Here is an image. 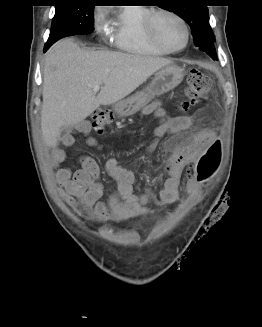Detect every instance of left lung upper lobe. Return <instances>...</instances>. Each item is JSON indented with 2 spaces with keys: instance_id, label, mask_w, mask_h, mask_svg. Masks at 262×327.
I'll return each mask as SVG.
<instances>
[{
  "instance_id": "5c2ea615",
  "label": "left lung upper lobe",
  "mask_w": 262,
  "mask_h": 327,
  "mask_svg": "<svg viewBox=\"0 0 262 327\" xmlns=\"http://www.w3.org/2000/svg\"><path fill=\"white\" fill-rule=\"evenodd\" d=\"M185 2L196 4H182ZM163 3L162 8L173 11L189 24L193 35V42L198 48L215 41V36L209 24L207 6L199 4L200 1L198 0H166Z\"/></svg>"
}]
</instances>
